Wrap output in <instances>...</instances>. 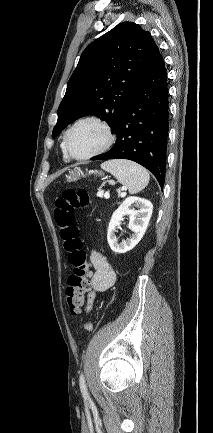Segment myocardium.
<instances>
[{"instance_id":"obj_1","label":"myocardium","mask_w":213,"mask_h":433,"mask_svg":"<svg viewBox=\"0 0 213 433\" xmlns=\"http://www.w3.org/2000/svg\"><path fill=\"white\" fill-rule=\"evenodd\" d=\"M87 122H92L95 123L96 125H98L99 127H101L105 133V141L103 143V145L98 148L97 150H95L94 152L84 155V156H76L74 155L71 150H70V146H69V138H70V134L71 132L79 125L83 124V123H87ZM115 141V135L111 129V127L109 126V124L104 121L103 119L97 117V116H86L83 118L78 119L76 122H74L69 129L67 130V132L65 133L64 136V148L65 151L68 155V157L75 159V160H87L90 159L92 157H95L97 155H100L102 153H104L105 151H107L112 144Z\"/></svg>"}]
</instances>
